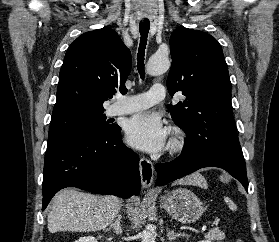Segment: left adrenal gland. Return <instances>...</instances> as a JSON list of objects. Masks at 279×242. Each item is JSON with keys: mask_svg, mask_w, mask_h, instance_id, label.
Here are the masks:
<instances>
[{"mask_svg": "<svg viewBox=\"0 0 279 242\" xmlns=\"http://www.w3.org/2000/svg\"><path fill=\"white\" fill-rule=\"evenodd\" d=\"M167 236L170 241L175 240L177 237H188L185 233H175L174 230L167 229Z\"/></svg>", "mask_w": 279, "mask_h": 242, "instance_id": "1", "label": "left adrenal gland"}]
</instances>
